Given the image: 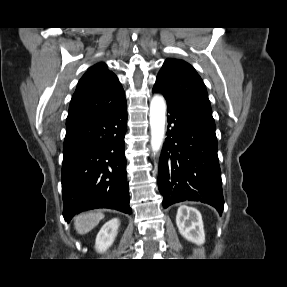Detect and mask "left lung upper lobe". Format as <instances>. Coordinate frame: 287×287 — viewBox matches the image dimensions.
Instances as JSON below:
<instances>
[{
    "mask_svg": "<svg viewBox=\"0 0 287 287\" xmlns=\"http://www.w3.org/2000/svg\"><path fill=\"white\" fill-rule=\"evenodd\" d=\"M154 88L166 101L215 131L207 90L196 70L180 59H167L160 70Z\"/></svg>",
    "mask_w": 287,
    "mask_h": 287,
    "instance_id": "5c2ea615",
    "label": "left lung upper lobe"
}]
</instances>
